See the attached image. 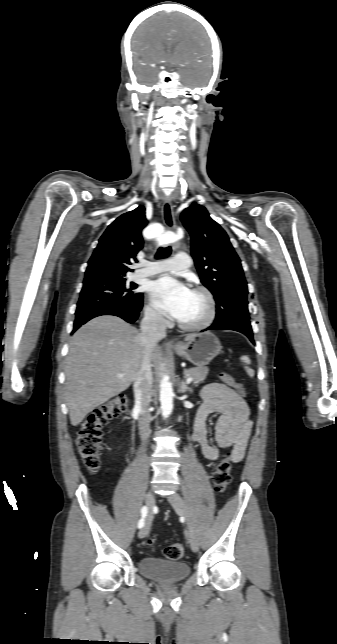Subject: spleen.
Segmentation results:
<instances>
[{
	"mask_svg": "<svg viewBox=\"0 0 337 644\" xmlns=\"http://www.w3.org/2000/svg\"><path fill=\"white\" fill-rule=\"evenodd\" d=\"M240 360L242 362H244L245 364H247V365L251 363L250 359L247 356H241ZM245 370H246L247 374L250 377L254 376V370L253 369L249 368L248 366H245Z\"/></svg>",
	"mask_w": 337,
	"mask_h": 644,
	"instance_id": "1",
	"label": "spleen"
}]
</instances>
